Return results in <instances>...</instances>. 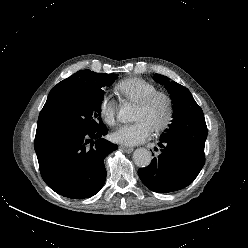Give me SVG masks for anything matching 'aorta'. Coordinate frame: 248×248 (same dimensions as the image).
<instances>
[{
  "label": "aorta",
  "mask_w": 248,
  "mask_h": 248,
  "mask_svg": "<svg viewBox=\"0 0 248 248\" xmlns=\"http://www.w3.org/2000/svg\"><path fill=\"white\" fill-rule=\"evenodd\" d=\"M118 119L122 123L131 122L133 120V108L130 105L121 107ZM133 160L138 167H147L151 163L152 154L145 148H138L133 153Z\"/></svg>",
  "instance_id": "1"
}]
</instances>
